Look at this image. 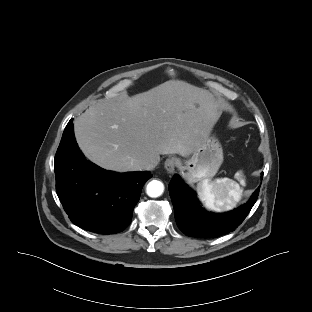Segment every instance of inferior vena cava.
<instances>
[{"label": "inferior vena cava", "instance_id": "inferior-vena-cava-1", "mask_svg": "<svg viewBox=\"0 0 312 312\" xmlns=\"http://www.w3.org/2000/svg\"><path fill=\"white\" fill-rule=\"evenodd\" d=\"M158 164V161L155 159H148L142 163V169L144 170H153Z\"/></svg>", "mask_w": 312, "mask_h": 312}]
</instances>
